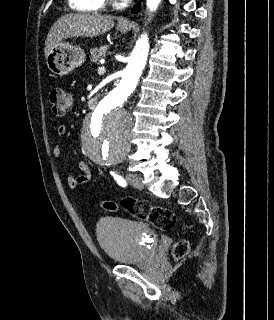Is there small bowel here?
Masks as SVG:
<instances>
[{
  "mask_svg": "<svg viewBox=\"0 0 274 320\" xmlns=\"http://www.w3.org/2000/svg\"><path fill=\"white\" fill-rule=\"evenodd\" d=\"M66 131L67 127L64 124L59 125L56 129L57 143L53 149V156L56 159H60L62 157L61 139L65 135ZM78 167L81 174L73 175L72 173H68L66 176L67 186L70 190H76L80 185L89 182L91 179L90 167L85 161L80 160L78 162ZM79 199H83V197L79 196Z\"/></svg>",
  "mask_w": 274,
  "mask_h": 320,
  "instance_id": "small-bowel-1",
  "label": "small bowel"
}]
</instances>
